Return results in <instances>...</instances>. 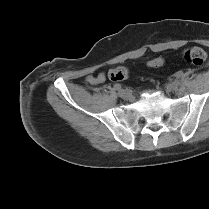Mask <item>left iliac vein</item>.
I'll return each instance as SVG.
<instances>
[{"label":"left iliac vein","mask_w":209,"mask_h":209,"mask_svg":"<svg viewBox=\"0 0 209 209\" xmlns=\"http://www.w3.org/2000/svg\"><path fill=\"white\" fill-rule=\"evenodd\" d=\"M180 83L178 81L172 82L169 84V88L173 91L178 90Z\"/></svg>","instance_id":"obj_1"}]
</instances>
